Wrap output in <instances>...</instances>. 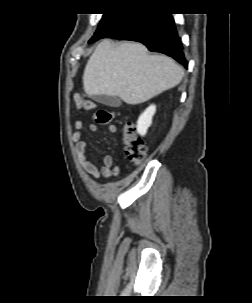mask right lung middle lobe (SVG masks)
Here are the masks:
<instances>
[{
    "instance_id": "obj_1",
    "label": "right lung middle lobe",
    "mask_w": 252,
    "mask_h": 303,
    "mask_svg": "<svg viewBox=\"0 0 252 303\" xmlns=\"http://www.w3.org/2000/svg\"><path fill=\"white\" fill-rule=\"evenodd\" d=\"M120 16L121 14H104L98 26V29L96 30L89 43L104 35L115 24Z\"/></svg>"
}]
</instances>
